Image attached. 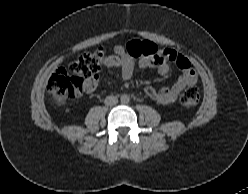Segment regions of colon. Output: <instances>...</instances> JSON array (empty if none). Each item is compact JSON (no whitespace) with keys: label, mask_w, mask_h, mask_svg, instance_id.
Instances as JSON below:
<instances>
[{"label":"colon","mask_w":248,"mask_h":194,"mask_svg":"<svg viewBox=\"0 0 248 194\" xmlns=\"http://www.w3.org/2000/svg\"><path fill=\"white\" fill-rule=\"evenodd\" d=\"M127 50L133 57L153 56L160 51L150 41L134 40L127 44ZM177 59L182 60L174 51L167 53L166 61L174 63ZM104 51L97 48L79 56L75 61L65 67L59 68L50 78L48 94L52 102L59 107L66 105L76 98L83 90L85 79L97 76L104 64ZM163 59H159V62ZM200 94L195 86L186 88L180 96V104L184 108H192L197 105Z\"/></svg>","instance_id":"colon-1"}]
</instances>
